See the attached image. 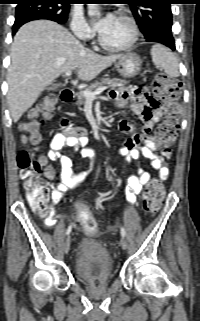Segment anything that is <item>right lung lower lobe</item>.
<instances>
[{
  "instance_id": "98d812e1",
  "label": "right lung lower lobe",
  "mask_w": 200,
  "mask_h": 321,
  "mask_svg": "<svg viewBox=\"0 0 200 321\" xmlns=\"http://www.w3.org/2000/svg\"><path fill=\"white\" fill-rule=\"evenodd\" d=\"M38 19H48V20H53L51 17L47 16V15H43V14H28V15H24L21 17H18L13 25V35L17 32V30L25 23L29 22V21H33V20H38ZM56 22V21H55Z\"/></svg>"
}]
</instances>
